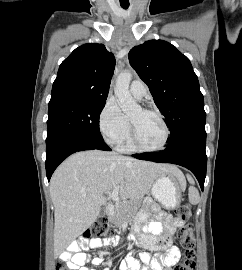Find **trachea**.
Listing matches in <instances>:
<instances>
[{
    "instance_id": "obj_1",
    "label": "trachea",
    "mask_w": 242,
    "mask_h": 270,
    "mask_svg": "<svg viewBox=\"0 0 242 270\" xmlns=\"http://www.w3.org/2000/svg\"><path fill=\"white\" fill-rule=\"evenodd\" d=\"M121 7H122L123 9H127V8H128V6H123V5H122Z\"/></svg>"
}]
</instances>
